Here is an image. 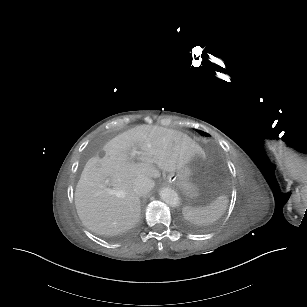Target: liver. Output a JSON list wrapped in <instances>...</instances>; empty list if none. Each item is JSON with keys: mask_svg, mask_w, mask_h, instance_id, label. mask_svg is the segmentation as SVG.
I'll list each match as a JSON object with an SVG mask.
<instances>
[{"mask_svg": "<svg viewBox=\"0 0 307 307\" xmlns=\"http://www.w3.org/2000/svg\"><path fill=\"white\" fill-rule=\"evenodd\" d=\"M198 152L187 134L161 126L140 125L116 136L87 161L76 186L75 205L83 225L101 235L132 228L141 211L135 179L159 178V170L176 172Z\"/></svg>", "mask_w": 307, "mask_h": 307, "instance_id": "6515ba94", "label": "liver"}]
</instances>
